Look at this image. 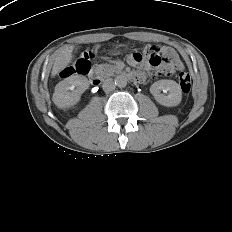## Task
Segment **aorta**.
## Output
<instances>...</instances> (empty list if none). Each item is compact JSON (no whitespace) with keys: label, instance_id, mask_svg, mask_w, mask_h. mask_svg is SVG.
<instances>
[{"label":"aorta","instance_id":"762f6f07","mask_svg":"<svg viewBox=\"0 0 232 232\" xmlns=\"http://www.w3.org/2000/svg\"><path fill=\"white\" fill-rule=\"evenodd\" d=\"M127 77L126 76H124V75H119V76H117L116 77V79H115V84H116V86H118L119 88H124V87H126V85H127Z\"/></svg>","mask_w":232,"mask_h":232}]
</instances>
